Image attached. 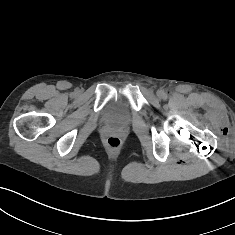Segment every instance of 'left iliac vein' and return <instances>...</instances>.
<instances>
[{"label":"left iliac vein","instance_id":"obj_1","mask_svg":"<svg viewBox=\"0 0 235 235\" xmlns=\"http://www.w3.org/2000/svg\"><path fill=\"white\" fill-rule=\"evenodd\" d=\"M163 91L162 90H158L157 91V96L159 97V98H163Z\"/></svg>","mask_w":235,"mask_h":235}]
</instances>
